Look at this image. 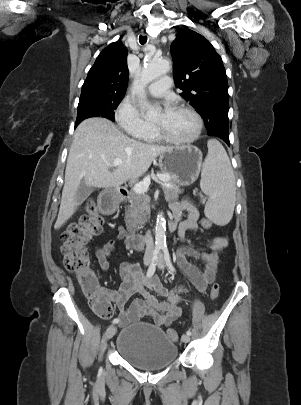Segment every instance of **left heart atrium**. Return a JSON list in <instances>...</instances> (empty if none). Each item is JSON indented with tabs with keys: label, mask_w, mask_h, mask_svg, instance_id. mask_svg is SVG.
Returning a JSON list of instances; mask_svg holds the SVG:
<instances>
[{
	"label": "left heart atrium",
	"mask_w": 301,
	"mask_h": 405,
	"mask_svg": "<svg viewBox=\"0 0 301 405\" xmlns=\"http://www.w3.org/2000/svg\"><path fill=\"white\" fill-rule=\"evenodd\" d=\"M171 110H172L171 107H169V106L166 107V111H171Z\"/></svg>",
	"instance_id": "left-heart-atrium-1"
}]
</instances>
